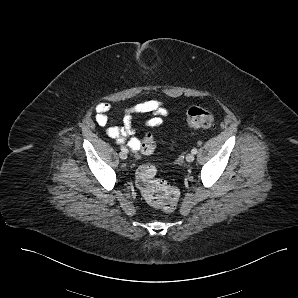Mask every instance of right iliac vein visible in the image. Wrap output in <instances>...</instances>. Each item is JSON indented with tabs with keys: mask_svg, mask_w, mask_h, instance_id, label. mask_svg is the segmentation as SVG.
<instances>
[{
	"mask_svg": "<svg viewBox=\"0 0 298 298\" xmlns=\"http://www.w3.org/2000/svg\"><path fill=\"white\" fill-rule=\"evenodd\" d=\"M119 156H120V158H121L122 160H125V159L127 158V153L121 151L120 154H119Z\"/></svg>",
	"mask_w": 298,
	"mask_h": 298,
	"instance_id": "obj_1",
	"label": "right iliac vein"
}]
</instances>
